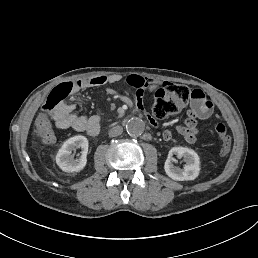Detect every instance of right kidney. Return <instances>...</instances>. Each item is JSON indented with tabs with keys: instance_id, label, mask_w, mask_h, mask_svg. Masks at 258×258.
<instances>
[{
	"instance_id": "1",
	"label": "right kidney",
	"mask_w": 258,
	"mask_h": 258,
	"mask_svg": "<svg viewBox=\"0 0 258 258\" xmlns=\"http://www.w3.org/2000/svg\"><path fill=\"white\" fill-rule=\"evenodd\" d=\"M80 148V156L76 159L71 155V152ZM88 153V140L84 136H74L66 140L56 156L57 165L64 171H78L86 164Z\"/></svg>"
}]
</instances>
